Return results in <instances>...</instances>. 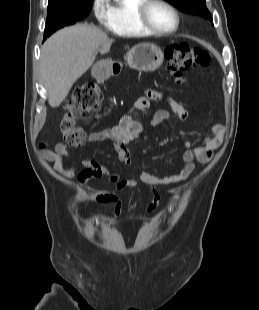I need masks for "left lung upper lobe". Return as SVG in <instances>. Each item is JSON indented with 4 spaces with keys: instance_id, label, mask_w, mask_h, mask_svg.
Instances as JSON below:
<instances>
[{
    "instance_id": "left-lung-upper-lobe-1",
    "label": "left lung upper lobe",
    "mask_w": 259,
    "mask_h": 310,
    "mask_svg": "<svg viewBox=\"0 0 259 310\" xmlns=\"http://www.w3.org/2000/svg\"><path fill=\"white\" fill-rule=\"evenodd\" d=\"M183 12L199 15L212 21L205 0H166Z\"/></svg>"
}]
</instances>
